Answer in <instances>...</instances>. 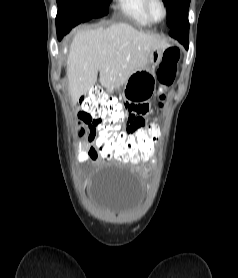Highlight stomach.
I'll list each match as a JSON object with an SVG mask.
<instances>
[{
	"instance_id": "stomach-1",
	"label": "stomach",
	"mask_w": 238,
	"mask_h": 278,
	"mask_svg": "<svg viewBox=\"0 0 238 278\" xmlns=\"http://www.w3.org/2000/svg\"><path fill=\"white\" fill-rule=\"evenodd\" d=\"M164 50L155 49L149 58L150 64L161 61ZM156 77L154 71L147 64L143 69L134 72L125 84H116L117 95L129 101L147 102L155 93Z\"/></svg>"
}]
</instances>
